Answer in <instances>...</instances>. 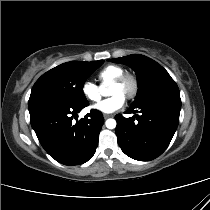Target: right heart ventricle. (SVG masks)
Segmentation results:
<instances>
[{"instance_id": "obj_1", "label": "right heart ventricle", "mask_w": 210, "mask_h": 210, "mask_svg": "<svg viewBox=\"0 0 210 210\" xmlns=\"http://www.w3.org/2000/svg\"><path fill=\"white\" fill-rule=\"evenodd\" d=\"M123 73H125V71L122 67L117 65H107L97 73V78L102 86H107Z\"/></svg>"}]
</instances>
